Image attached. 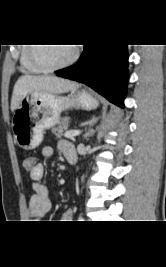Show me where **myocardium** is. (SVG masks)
Here are the masks:
<instances>
[{"label": "myocardium", "mask_w": 166, "mask_h": 267, "mask_svg": "<svg viewBox=\"0 0 166 267\" xmlns=\"http://www.w3.org/2000/svg\"><path fill=\"white\" fill-rule=\"evenodd\" d=\"M38 47H39L38 44H33V46L30 47L31 60L36 66H38L41 69H43L44 71H48V72L61 70V69H64V68L71 66L73 63H75V61L78 58V54H79L78 48L75 47V48H73V52H72L71 57L66 62L61 63V64H57V65H49L39 58Z\"/></svg>", "instance_id": "myocardium-1"}]
</instances>
